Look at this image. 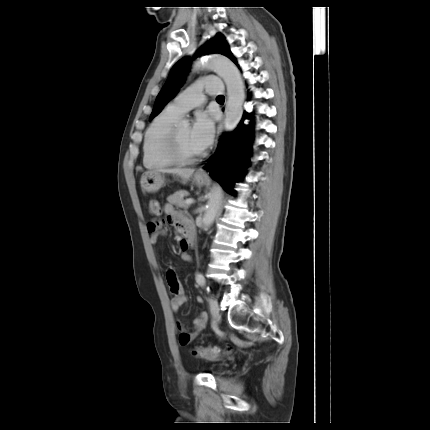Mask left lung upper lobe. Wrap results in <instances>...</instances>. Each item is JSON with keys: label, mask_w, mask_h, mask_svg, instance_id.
<instances>
[{"label": "left lung upper lobe", "mask_w": 430, "mask_h": 430, "mask_svg": "<svg viewBox=\"0 0 430 430\" xmlns=\"http://www.w3.org/2000/svg\"><path fill=\"white\" fill-rule=\"evenodd\" d=\"M205 51L207 53L222 54L237 64L236 58L231 53L225 38L221 34H217L216 37L205 46ZM189 63L190 61L188 57H183L172 67L165 85L156 98L150 118H154L158 113H160L167 102L176 95L178 89L184 82V77L189 68Z\"/></svg>", "instance_id": "5c2ea615"}]
</instances>
